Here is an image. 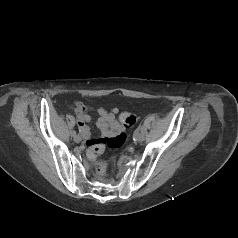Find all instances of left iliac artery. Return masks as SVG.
Masks as SVG:
<instances>
[{
  "label": "left iliac artery",
  "instance_id": "obj_1",
  "mask_svg": "<svg viewBox=\"0 0 238 238\" xmlns=\"http://www.w3.org/2000/svg\"><path fill=\"white\" fill-rule=\"evenodd\" d=\"M148 127H146V126H142L141 128H140V131H141V133L143 134V135H146L147 133H148Z\"/></svg>",
  "mask_w": 238,
  "mask_h": 238
}]
</instances>
